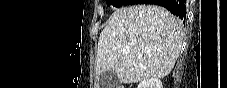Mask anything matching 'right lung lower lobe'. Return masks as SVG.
<instances>
[{
  "label": "right lung lower lobe",
  "mask_w": 227,
  "mask_h": 88,
  "mask_svg": "<svg viewBox=\"0 0 227 88\" xmlns=\"http://www.w3.org/2000/svg\"><path fill=\"white\" fill-rule=\"evenodd\" d=\"M137 2L163 6L183 21L186 19V0H137Z\"/></svg>",
  "instance_id": "right-lung-lower-lobe-1"
}]
</instances>
